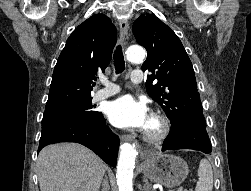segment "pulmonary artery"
Instances as JSON below:
<instances>
[{
	"mask_svg": "<svg viewBox=\"0 0 251 191\" xmlns=\"http://www.w3.org/2000/svg\"><path fill=\"white\" fill-rule=\"evenodd\" d=\"M143 76V73H140V70L136 69L131 73L130 78L133 83H140L143 80ZM99 83L101 88L93 96L96 100L105 99L120 92L119 85L111 83L106 79H100Z\"/></svg>",
	"mask_w": 251,
	"mask_h": 191,
	"instance_id": "pulmonary-artery-1",
	"label": "pulmonary artery"
}]
</instances>
